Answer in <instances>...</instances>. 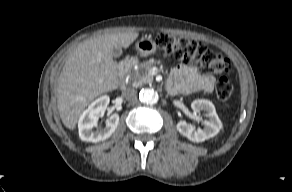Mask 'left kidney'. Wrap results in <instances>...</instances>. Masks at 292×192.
Segmentation results:
<instances>
[{
	"label": "left kidney",
	"mask_w": 292,
	"mask_h": 192,
	"mask_svg": "<svg viewBox=\"0 0 292 192\" xmlns=\"http://www.w3.org/2000/svg\"><path fill=\"white\" fill-rule=\"evenodd\" d=\"M191 108L195 113L203 111L208 120H204V129H195L192 125L188 124L185 120H180L177 123L178 132L187 137L192 142H203L209 138L217 135L222 128V122L219 119L214 104L205 99H197L191 103Z\"/></svg>",
	"instance_id": "1"
}]
</instances>
